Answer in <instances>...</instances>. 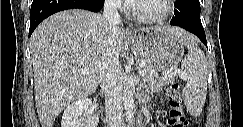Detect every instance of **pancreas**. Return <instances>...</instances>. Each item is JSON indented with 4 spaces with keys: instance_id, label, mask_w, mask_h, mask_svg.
Listing matches in <instances>:
<instances>
[{
    "instance_id": "obj_1",
    "label": "pancreas",
    "mask_w": 243,
    "mask_h": 127,
    "mask_svg": "<svg viewBox=\"0 0 243 127\" xmlns=\"http://www.w3.org/2000/svg\"><path fill=\"white\" fill-rule=\"evenodd\" d=\"M140 67L145 70V74L142 75V78L148 82L150 89L154 92L161 90L165 84L174 80L169 73L160 77L157 72L144 61L141 62Z\"/></svg>"
}]
</instances>
